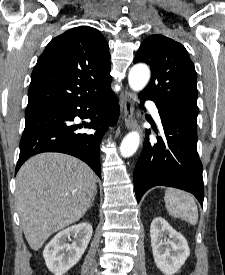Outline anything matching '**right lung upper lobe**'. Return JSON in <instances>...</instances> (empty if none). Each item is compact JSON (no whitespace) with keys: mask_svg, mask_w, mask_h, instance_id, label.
<instances>
[{"mask_svg":"<svg viewBox=\"0 0 225 275\" xmlns=\"http://www.w3.org/2000/svg\"><path fill=\"white\" fill-rule=\"evenodd\" d=\"M110 53L103 35L80 26L55 37L35 65L26 112L89 99L110 87Z\"/></svg>","mask_w":225,"mask_h":275,"instance_id":"1","label":"right lung upper lobe"}]
</instances>
